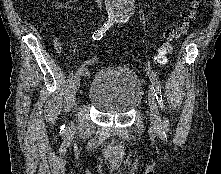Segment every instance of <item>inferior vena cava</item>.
I'll return each instance as SVG.
<instances>
[{
  "instance_id": "inferior-vena-cava-1",
  "label": "inferior vena cava",
  "mask_w": 221,
  "mask_h": 174,
  "mask_svg": "<svg viewBox=\"0 0 221 174\" xmlns=\"http://www.w3.org/2000/svg\"><path fill=\"white\" fill-rule=\"evenodd\" d=\"M95 1L97 2L98 7L101 8L103 0H95Z\"/></svg>"
}]
</instances>
